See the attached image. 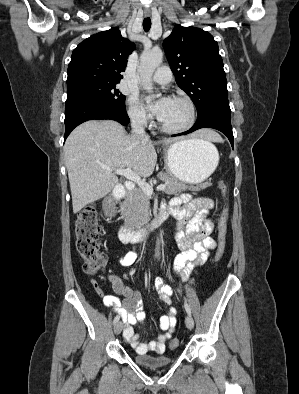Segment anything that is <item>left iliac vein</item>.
Segmentation results:
<instances>
[{"instance_id": "4c4485c4", "label": "left iliac vein", "mask_w": 299, "mask_h": 394, "mask_svg": "<svg viewBox=\"0 0 299 394\" xmlns=\"http://www.w3.org/2000/svg\"><path fill=\"white\" fill-rule=\"evenodd\" d=\"M185 324L188 329H192L194 327V320L191 315H187L185 318Z\"/></svg>"}]
</instances>
